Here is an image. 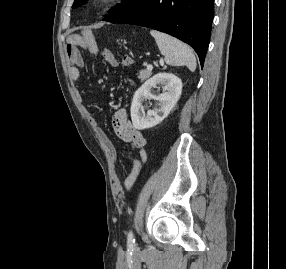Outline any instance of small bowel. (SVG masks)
<instances>
[{
    "mask_svg": "<svg viewBox=\"0 0 286 269\" xmlns=\"http://www.w3.org/2000/svg\"><path fill=\"white\" fill-rule=\"evenodd\" d=\"M79 46L85 47L91 53H96L98 51L96 43L93 40H83L82 42H80L76 41L75 38H71L68 41V45L66 47V55L70 63L69 75L71 80L73 81H77L80 78V69L85 64L84 59L78 50ZM101 56L106 64L112 67H116L119 65L118 60L110 50H102ZM87 117L91 127L109 148L111 160L113 162H116L117 153L113 148L111 142L103 134L102 130L98 125L97 120L90 113H88ZM112 125L120 139L130 144L132 150L134 151L131 171L124 181V187L129 190L135 184L141 167L147 161V152L145 149L146 139L140 130L135 129L131 125L130 120L128 118L127 110L125 108H119L114 112L112 117Z\"/></svg>",
    "mask_w": 286,
    "mask_h": 269,
    "instance_id": "small-bowel-1",
    "label": "small bowel"
}]
</instances>
